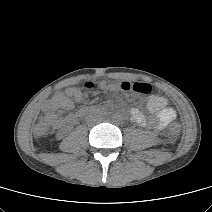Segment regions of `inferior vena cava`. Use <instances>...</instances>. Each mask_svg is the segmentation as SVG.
Here are the masks:
<instances>
[{
  "label": "inferior vena cava",
  "mask_w": 212,
  "mask_h": 212,
  "mask_svg": "<svg viewBox=\"0 0 212 212\" xmlns=\"http://www.w3.org/2000/svg\"><path fill=\"white\" fill-rule=\"evenodd\" d=\"M88 122H89L90 124L98 125V124H100V122H101L100 116H99V115H94L93 117H90V118L88 119Z\"/></svg>",
  "instance_id": "1"
}]
</instances>
